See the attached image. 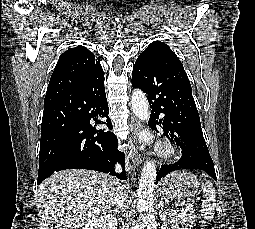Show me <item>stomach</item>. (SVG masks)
<instances>
[{"instance_id":"0dacf381","label":"stomach","mask_w":255,"mask_h":229,"mask_svg":"<svg viewBox=\"0 0 255 229\" xmlns=\"http://www.w3.org/2000/svg\"><path fill=\"white\" fill-rule=\"evenodd\" d=\"M199 182L194 174L175 171L168 174L159 184L162 196L175 200L178 205L188 203L198 192Z\"/></svg>"}]
</instances>
